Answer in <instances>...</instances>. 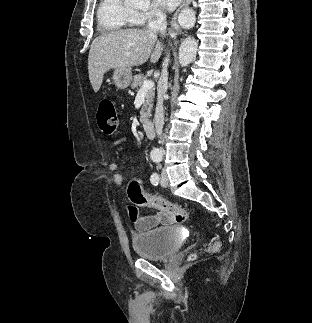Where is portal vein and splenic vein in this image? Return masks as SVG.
I'll return each instance as SVG.
<instances>
[{"label": "portal vein and splenic vein", "mask_w": 312, "mask_h": 323, "mask_svg": "<svg viewBox=\"0 0 312 323\" xmlns=\"http://www.w3.org/2000/svg\"><path fill=\"white\" fill-rule=\"evenodd\" d=\"M153 86H154V82H149V80H148V82H144V84H143V86H141L137 96H140V94H143V96H144V94H146V92H148V90H151V88H153Z\"/></svg>", "instance_id": "portal-vein-and-splenic-vein-1"}]
</instances>
